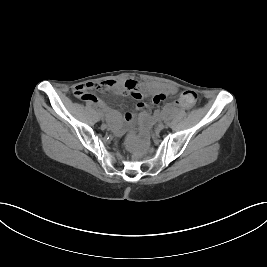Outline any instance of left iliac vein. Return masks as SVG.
<instances>
[{
  "mask_svg": "<svg viewBox=\"0 0 267 267\" xmlns=\"http://www.w3.org/2000/svg\"><path fill=\"white\" fill-rule=\"evenodd\" d=\"M161 127H167V123H161Z\"/></svg>",
  "mask_w": 267,
  "mask_h": 267,
  "instance_id": "obj_1",
  "label": "left iliac vein"
}]
</instances>
